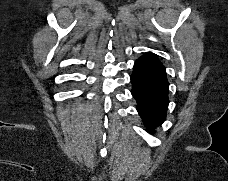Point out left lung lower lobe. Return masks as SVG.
<instances>
[{
  "instance_id": "left-lung-lower-lobe-1",
  "label": "left lung lower lobe",
  "mask_w": 228,
  "mask_h": 181,
  "mask_svg": "<svg viewBox=\"0 0 228 181\" xmlns=\"http://www.w3.org/2000/svg\"><path fill=\"white\" fill-rule=\"evenodd\" d=\"M131 82L137 111L148 130H153L164 122L169 103L165 67L156 55L145 53L134 64Z\"/></svg>"
}]
</instances>
